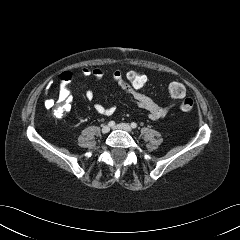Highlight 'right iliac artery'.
Wrapping results in <instances>:
<instances>
[{
  "instance_id": "82829eb1",
  "label": "right iliac artery",
  "mask_w": 240,
  "mask_h": 240,
  "mask_svg": "<svg viewBox=\"0 0 240 240\" xmlns=\"http://www.w3.org/2000/svg\"><path fill=\"white\" fill-rule=\"evenodd\" d=\"M108 125H109L110 127H114V126H115V122H114V121H110V122L108 123Z\"/></svg>"
}]
</instances>
